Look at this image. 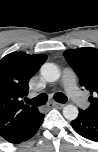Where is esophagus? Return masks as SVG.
<instances>
[{
	"label": "esophagus",
	"instance_id": "obj_1",
	"mask_svg": "<svg viewBox=\"0 0 98 152\" xmlns=\"http://www.w3.org/2000/svg\"><path fill=\"white\" fill-rule=\"evenodd\" d=\"M48 105L50 107H53V108H62L64 106V104L57 103V102H54V101H51Z\"/></svg>",
	"mask_w": 98,
	"mask_h": 152
}]
</instances>
